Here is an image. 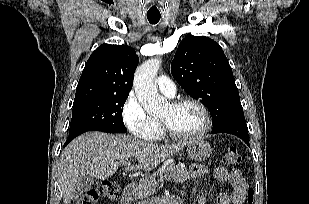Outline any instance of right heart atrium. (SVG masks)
<instances>
[{
	"mask_svg": "<svg viewBox=\"0 0 309 204\" xmlns=\"http://www.w3.org/2000/svg\"><path fill=\"white\" fill-rule=\"evenodd\" d=\"M122 118L128 131L138 138L153 140L160 133L159 122L146 112L134 93H130L123 104Z\"/></svg>",
	"mask_w": 309,
	"mask_h": 204,
	"instance_id": "1",
	"label": "right heart atrium"
}]
</instances>
